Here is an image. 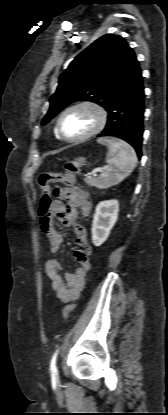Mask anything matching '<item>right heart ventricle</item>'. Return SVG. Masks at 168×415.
<instances>
[{"label":"right heart ventricle","instance_id":"e07e8e85","mask_svg":"<svg viewBox=\"0 0 168 415\" xmlns=\"http://www.w3.org/2000/svg\"><path fill=\"white\" fill-rule=\"evenodd\" d=\"M54 135H55V137H56L57 139H60V137H59V135H58V133H57V131H56V127L54 128Z\"/></svg>","mask_w":168,"mask_h":415}]
</instances>
